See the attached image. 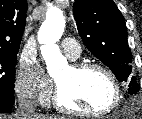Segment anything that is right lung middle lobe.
<instances>
[{"instance_id":"1","label":"right lung middle lobe","mask_w":142,"mask_h":119,"mask_svg":"<svg viewBox=\"0 0 142 119\" xmlns=\"http://www.w3.org/2000/svg\"><path fill=\"white\" fill-rule=\"evenodd\" d=\"M17 53L0 51V95L14 98Z\"/></svg>"}]
</instances>
